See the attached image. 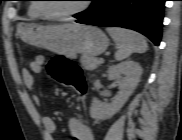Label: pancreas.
I'll use <instances>...</instances> for the list:
<instances>
[{
    "mask_svg": "<svg viewBox=\"0 0 182 140\" xmlns=\"http://www.w3.org/2000/svg\"><path fill=\"white\" fill-rule=\"evenodd\" d=\"M80 63L86 70H94L96 69L101 63L99 62V59L95 57H88V56H82L80 58Z\"/></svg>",
    "mask_w": 182,
    "mask_h": 140,
    "instance_id": "cf45deb5",
    "label": "pancreas"
}]
</instances>
